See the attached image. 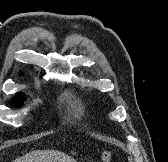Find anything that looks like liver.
I'll return each instance as SVG.
<instances>
[{"instance_id":"liver-1","label":"liver","mask_w":168,"mask_h":162,"mask_svg":"<svg viewBox=\"0 0 168 162\" xmlns=\"http://www.w3.org/2000/svg\"><path fill=\"white\" fill-rule=\"evenodd\" d=\"M12 162H77L73 157L57 150H35Z\"/></svg>"}]
</instances>
